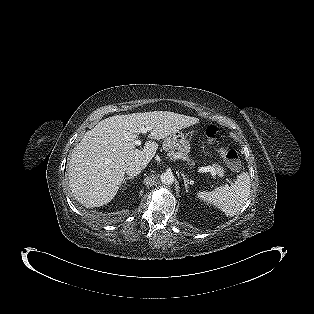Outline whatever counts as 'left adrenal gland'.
Wrapping results in <instances>:
<instances>
[{"label": "left adrenal gland", "instance_id": "a2214340", "mask_svg": "<svg viewBox=\"0 0 314 314\" xmlns=\"http://www.w3.org/2000/svg\"><path fill=\"white\" fill-rule=\"evenodd\" d=\"M183 180H184V186H185V190L188 193V184H192L191 182H189V180L186 178V176L184 174H182Z\"/></svg>", "mask_w": 314, "mask_h": 314}]
</instances>
